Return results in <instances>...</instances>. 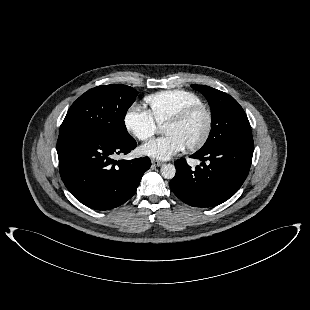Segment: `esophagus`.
<instances>
[{"label":"esophagus","mask_w":310,"mask_h":310,"mask_svg":"<svg viewBox=\"0 0 310 310\" xmlns=\"http://www.w3.org/2000/svg\"><path fill=\"white\" fill-rule=\"evenodd\" d=\"M151 163L154 165V166H162L163 165V162L159 161V160H156V159H152L151 160Z\"/></svg>","instance_id":"esophagus-1"}]
</instances>
